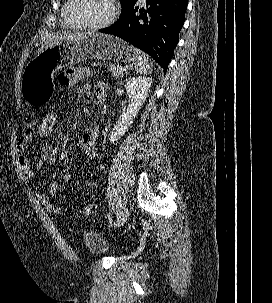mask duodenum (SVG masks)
Masks as SVG:
<instances>
[{
	"mask_svg": "<svg viewBox=\"0 0 272 303\" xmlns=\"http://www.w3.org/2000/svg\"><path fill=\"white\" fill-rule=\"evenodd\" d=\"M97 102L102 104L105 101V95L101 92L96 94Z\"/></svg>",
	"mask_w": 272,
	"mask_h": 303,
	"instance_id": "1",
	"label": "duodenum"
}]
</instances>
